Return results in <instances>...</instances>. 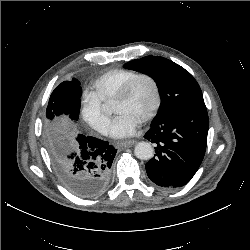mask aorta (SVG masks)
Masks as SVG:
<instances>
[{
    "instance_id": "aorta-1",
    "label": "aorta",
    "mask_w": 250,
    "mask_h": 250,
    "mask_svg": "<svg viewBox=\"0 0 250 250\" xmlns=\"http://www.w3.org/2000/svg\"><path fill=\"white\" fill-rule=\"evenodd\" d=\"M134 154L138 159L149 160L154 155V149L148 142H139L135 146Z\"/></svg>"
}]
</instances>
